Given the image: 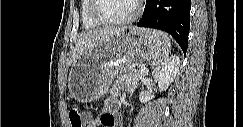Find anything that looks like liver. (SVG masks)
Returning <instances> with one entry per match:
<instances>
[{
	"instance_id": "6515ba94",
	"label": "liver",
	"mask_w": 243,
	"mask_h": 127,
	"mask_svg": "<svg viewBox=\"0 0 243 127\" xmlns=\"http://www.w3.org/2000/svg\"><path fill=\"white\" fill-rule=\"evenodd\" d=\"M124 28H112V29H96L81 33L78 36L74 51L70 54L67 65L69 66L77 57L89 52L94 48L101 40L108 36L119 32Z\"/></svg>"
}]
</instances>
